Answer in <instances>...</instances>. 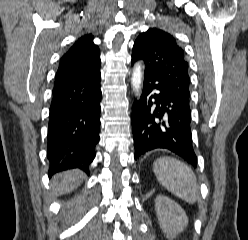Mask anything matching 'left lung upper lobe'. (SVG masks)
I'll use <instances>...</instances> for the list:
<instances>
[{
    "label": "left lung upper lobe",
    "mask_w": 248,
    "mask_h": 240,
    "mask_svg": "<svg viewBox=\"0 0 248 240\" xmlns=\"http://www.w3.org/2000/svg\"><path fill=\"white\" fill-rule=\"evenodd\" d=\"M143 60L145 72L168 85L180 96L189 98V65L184 50L168 32L151 28L136 39L132 61Z\"/></svg>",
    "instance_id": "obj_1"
}]
</instances>
